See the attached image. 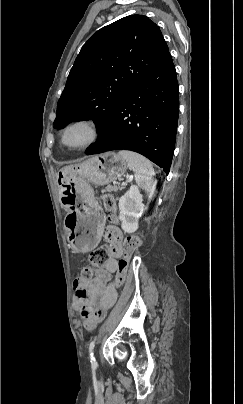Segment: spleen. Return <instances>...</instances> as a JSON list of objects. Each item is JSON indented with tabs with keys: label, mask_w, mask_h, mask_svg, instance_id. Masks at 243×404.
<instances>
[{
	"label": "spleen",
	"mask_w": 243,
	"mask_h": 404,
	"mask_svg": "<svg viewBox=\"0 0 243 404\" xmlns=\"http://www.w3.org/2000/svg\"><path fill=\"white\" fill-rule=\"evenodd\" d=\"M119 156L127 162L129 170L134 172L136 184L147 192L148 198L151 200L156 188V182L153 180L155 172L151 162L147 158H144V156H140V154L126 152V150L119 152Z\"/></svg>",
	"instance_id": "3e777b00"
}]
</instances>
